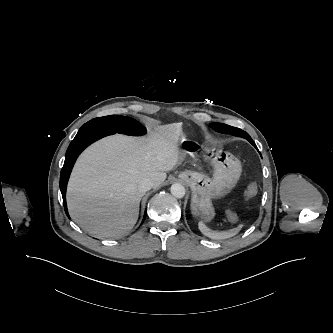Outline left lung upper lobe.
I'll return each mask as SVG.
<instances>
[{
    "label": "left lung upper lobe",
    "mask_w": 333,
    "mask_h": 333,
    "mask_svg": "<svg viewBox=\"0 0 333 333\" xmlns=\"http://www.w3.org/2000/svg\"><path fill=\"white\" fill-rule=\"evenodd\" d=\"M215 131L219 132V133H224V134H231V135H235V136H239V137H243L246 138L250 137L246 132H244L243 130L236 128V127H232L226 124H222V123H212L210 125ZM251 138V137H250Z\"/></svg>",
    "instance_id": "5c2ea615"
}]
</instances>
